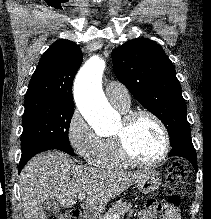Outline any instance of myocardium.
Here are the masks:
<instances>
[{
    "label": "myocardium",
    "mask_w": 211,
    "mask_h": 219,
    "mask_svg": "<svg viewBox=\"0 0 211 219\" xmlns=\"http://www.w3.org/2000/svg\"><path fill=\"white\" fill-rule=\"evenodd\" d=\"M141 116L150 117L158 125L163 136V149L160 156L152 161H142L137 159L129 150L127 143L128 132L133 123ZM116 151L121 160L127 165L150 168L161 164L169 155L170 152V136L165 123L154 112L147 109H139L126 113L123 117L122 127L113 137Z\"/></svg>",
    "instance_id": "myocardium-1"
}]
</instances>
